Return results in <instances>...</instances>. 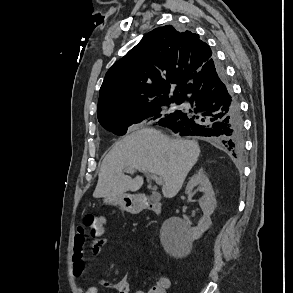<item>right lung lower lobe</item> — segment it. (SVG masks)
<instances>
[{"label": "right lung lower lobe", "instance_id": "1", "mask_svg": "<svg viewBox=\"0 0 293 293\" xmlns=\"http://www.w3.org/2000/svg\"><path fill=\"white\" fill-rule=\"evenodd\" d=\"M175 102L188 103L189 107L168 114L158 124L182 136L213 137L234 157L242 153L244 128L240 108L216 59L202 67Z\"/></svg>", "mask_w": 293, "mask_h": 293}]
</instances>
